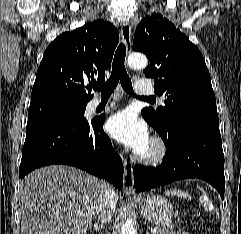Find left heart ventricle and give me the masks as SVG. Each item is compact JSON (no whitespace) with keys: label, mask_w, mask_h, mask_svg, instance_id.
Here are the masks:
<instances>
[{"label":"left heart ventricle","mask_w":241,"mask_h":234,"mask_svg":"<svg viewBox=\"0 0 241 234\" xmlns=\"http://www.w3.org/2000/svg\"><path fill=\"white\" fill-rule=\"evenodd\" d=\"M150 150V144L145 148V150L141 154H145Z\"/></svg>","instance_id":"left-heart-ventricle-1"}]
</instances>
